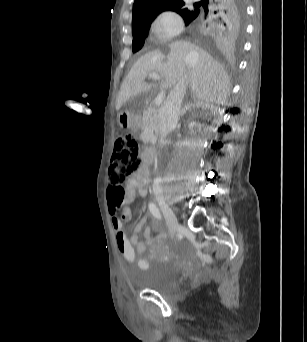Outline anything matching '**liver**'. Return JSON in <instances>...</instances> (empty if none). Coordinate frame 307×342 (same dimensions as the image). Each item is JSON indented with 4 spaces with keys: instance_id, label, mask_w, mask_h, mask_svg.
<instances>
[{
    "instance_id": "obj_1",
    "label": "liver",
    "mask_w": 307,
    "mask_h": 342,
    "mask_svg": "<svg viewBox=\"0 0 307 342\" xmlns=\"http://www.w3.org/2000/svg\"><path fill=\"white\" fill-rule=\"evenodd\" d=\"M158 49L144 54L133 64L121 84L117 112L127 100L151 90L154 84L145 82L148 74H162L165 78L162 88L175 86L182 76H187L189 88L194 98L202 100V106L213 108V104H227V96L231 92L230 78L223 66L208 52L183 40L159 44ZM190 52H194V56L188 60ZM187 62L191 70H187Z\"/></svg>"
}]
</instances>
